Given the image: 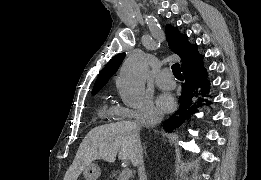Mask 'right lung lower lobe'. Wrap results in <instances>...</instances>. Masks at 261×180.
<instances>
[{
  "label": "right lung lower lobe",
  "instance_id": "98d812e1",
  "mask_svg": "<svg viewBox=\"0 0 261 180\" xmlns=\"http://www.w3.org/2000/svg\"><path fill=\"white\" fill-rule=\"evenodd\" d=\"M185 77V83L182 86V95L179 98L180 109L168 120L164 122L163 127L167 131H172L174 128L179 127L180 123L185 117L189 118L196 110V105L192 102L195 94L203 97H208L210 83L207 80V71L203 67V62L195 64L189 68L182 70ZM199 98V106L201 101L210 104L207 99Z\"/></svg>",
  "mask_w": 261,
  "mask_h": 180
}]
</instances>
